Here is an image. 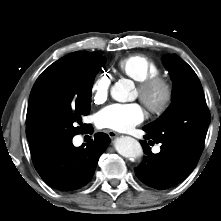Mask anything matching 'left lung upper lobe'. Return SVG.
Wrapping results in <instances>:
<instances>
[{
	"label": "left lung upper lobe",
	"mask_w": 221,
	"mask_h": 221,
	"mask_svg": "<svg viewBox=\"0 0 221 221\" xmlns=\"http://www.w3.org/2000/svg\"><path fill=\"white\" fill-rule=\"evenodd\" d=\"M163 62L173 79L172 103L145 128L156 143H177L201 154L210 123L201 83L193 69L176 54L164 56Z\"/></svg>",
	"instance_id": "5c2ea615"
}]
</instances>
